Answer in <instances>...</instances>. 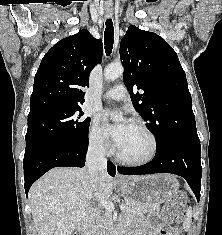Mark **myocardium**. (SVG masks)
<instances>
[{
    "label": "myocardium",
    "mask_w": 222,
    "mask_h": 235,
    "mask_svg": "<svg viewBox=\"0 0 222 235\" xmlns=\"http://www.w3.org/2000/svg\"><path fill=\"white\" fill-rule=\"evenodd\" d=\"M132 124L137 126V127H139L140 129H142L151 138L152 144H153L152 152L145 159H142V160H131V159H127V158L123 157L120 154V152H119V150L117 148L116 152H115L116 159L118 161H120L121 163L126 164V165H130V166H143V165H146V164L152 162L156 158V156H157V154L159 152V141H158V138H157L156 134L144 122H142L140 120H134L132 122Z\"/></svg>",
    "instance_id": "1"
}]
</instances>
